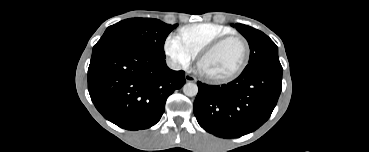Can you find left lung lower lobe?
I'll use <instances>...</instances> for the list:
<instances>
[{"mask_svg":"<svg viewBox=\"0 0 369 152\" xmlns=\"http://www.w3.org/2000/svg\"><path fill=\"white\" fill-rule=\"evenodd\" d=\"M194 115L199 125L220 138L251 133L270 117L282 90V69H260L217 85L197 82Z\"/></svg>","mask_w":369,"mask_h":152,"instance_id":"0a47b994","label":"left lung lower lobe"}]
</instances>
